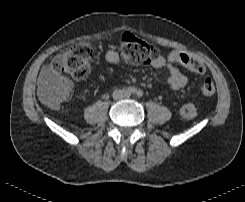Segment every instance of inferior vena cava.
<instances>
[{
    "instance_id": "inferior-vena-cava-1",
    "label": "inferior vena cava",
    "mask_w": 245,
    "mask_h": 202,
    "mask_svg": "<svg viewBox=\"0 0 245 202\" xmlns=\"http://www.w3.org/2000/svg\"><path fill=\"white\" fill-rule=\"evenodd\" d=\"M127 96L126 92L124 90H115L113 92V98L115 100L125 98Z\"/></svg>"
}]
</instances>
